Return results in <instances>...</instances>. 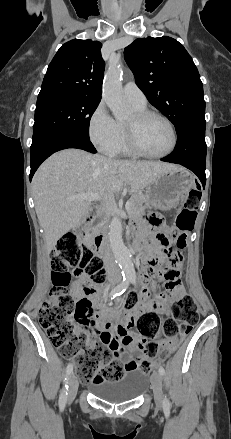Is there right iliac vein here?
<instances>
[{
  "instance_id": "right-iliac-vein-1",
  "label": "right iliac vein",
  "mask_w": 231,
  "mask_h": 439,
  "mask_svg": "<svg viewBox=\"0 0 231 439\" xmlns=\"http://www.w3.org/2000/svg\"><path fill=\"white\" fill-rule=\"evenodd\" d=\"M79 382L74 374L71 375L69 381L68 400L71 401L77 394Z\"/></svg>"
}]
</instances>
